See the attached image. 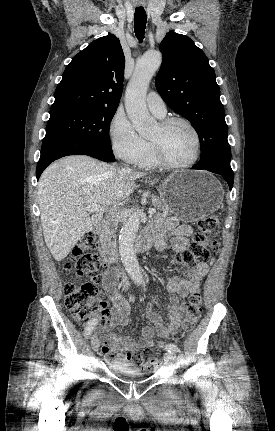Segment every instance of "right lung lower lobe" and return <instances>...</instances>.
<instances>
[{"mask_svg": "<svg viewBox=\"0 0 275 431\" xmlns=\"http://www.w3.org/2000/svg\"><path fill=\"white\" fill-rule=\"evenodd\" d=\"M68 155H89L105 162L115 160L112 151L90 142L68 139L44 141L36 169L37 180L53 161Z\"/></svg>", "mask_w": 275, "mask_h": 431, "instance_id": "right-lung-lower-lobe-1", "label": "right lung lower lobe"}]
</instances>
